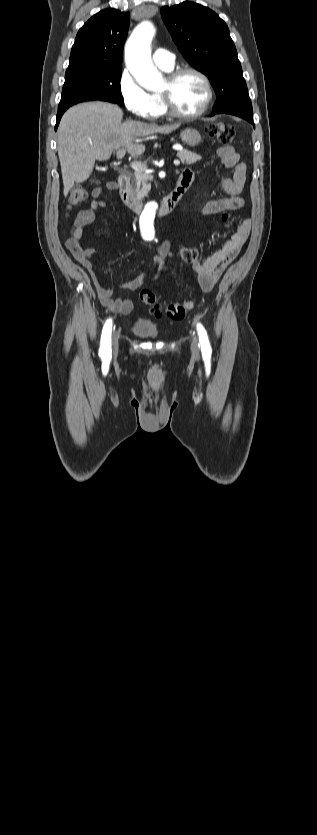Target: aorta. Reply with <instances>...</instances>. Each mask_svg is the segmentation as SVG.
I'll use <instances>...</instances> for the list:
<instances>
[{"instance_id": "1", "label": "aorta", "mask_w": 317, "mask_h": 835, "mask_svg": "<svg viewBox=\"0 0 317 835\" xmlns=\"http://www.w3.org/2000/svg\"><path fill=\"white\" fill-rule=\"evenodd\" d=\"M156 29L150 20L143 21L138 25L125 45V62L135 80L146 90H156L163 84L162 73L154 66L151 59V44ZM157 205L149 203L146 205L141 216V227L143 233L154 237L153 221L156 215Z\"/></svg>"}]
</instances>
